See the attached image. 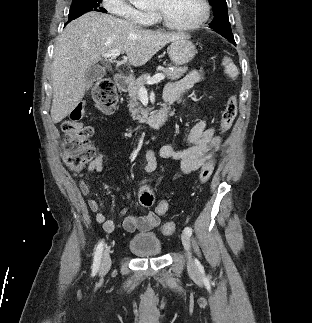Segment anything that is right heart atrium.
Masks as SVG:
<instances>
[{
    "label": "right heart atrium",
    "mask_w": 312,
    "mask_h": 323,
    "mask_svg": "<svg viewBox=\"0 0 312 323\" xmlns=\"http://www.w3.org/2000/svg\"><path fill=\"white\" fill-rule=\"evenodd\" d=\"M104 13H116L117 17H124V22H142L143 10H139L134 2L129 0H105Z\"/></svg>",
    "instance_id": "obj_1"
}]
</instances>
